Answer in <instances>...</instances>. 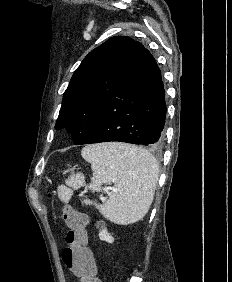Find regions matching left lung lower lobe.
<instances>
[{
	"label": "left lung lower lobe",
	"mask_w": 232,
	"mask_h": 282,
	"mask_svg": "<svg viewBox=\"0 0 232 282\" xmlns=\"http://www.w3.org/2000/svg\"><path fill=\"white\" fill-rule=\"evenodd\" d=\"M166 109L161 71L145 49L130 76L102 107L95 127L75 145L119 141L158 148Z\"/></svg>",
	"instance_id": "1"
}]
</instances>
